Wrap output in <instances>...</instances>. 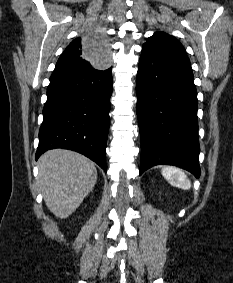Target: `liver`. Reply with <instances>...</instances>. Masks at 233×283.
Returning a JSON list of instances; mask_svg holds the SVG:
<instances>
[{
	"label": "liver",
	"instance_id": "liver-1",
	"mask_svg": "<svg viewBox=\"0 0 233 283\" xmlns=\"http://www.w3.org/2000/svg\"><path fill=\"white\" fill-rule=\"evenodd\" d=\"M37 184L48 209L58 218L69 217L93 190L95 164L70 150L52 149L38 160Z\"/></svg>",
	"mask_w": 233,
	"mask_h": 283
}]
</instances>
